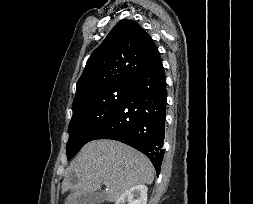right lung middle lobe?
<instances>
[{"mask_svg":"<svg viewBox=\"0 0 253 204\" xmlns=\"http://www.w3.org/2000/svg\"><path fill=\"white\" fill-rule=\"evenodd\" d=\"M131 84H117L95 91L72 105L66 154L71 159L99 130L125 99Z\"/></svg>","mask_w":253,"mask_h":204,"instance_id":"right-lung-middle-lobe-1","label":"right lung middle lobe"}]
</instances>
